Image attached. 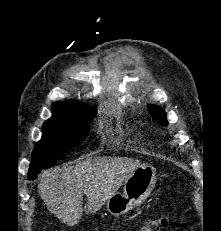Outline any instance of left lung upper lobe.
I'll use <instances>...</instances> for the list:
<instances>
[{
	"instance_id": "5c2ea615",
	"label": "left lung upper lobe",
	"mask_w": 221,
	"mask_h": 231,
	"mask_svg": "<svg viewBox=\"0 0 221 231\" xmlns=\"http://www.w3.org/2000/svg\"><path fill=\"white\" fill-rule=\"evenodd\" d=\"M150 113L164 126L168 125L166 113L155 105L148 106Z\"/></svg>"
}]
</instances>
